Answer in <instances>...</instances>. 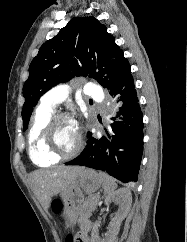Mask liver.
I'll return each mask as SVG.
<instances>
[{
    "label": "liver",
    "mask_w": 187,
    "mask_h": 242,
    "mask_svg": "<svg viewBox=\"0 0 187 242\" xmlns=\"http://www.w3.org/2000/svg\"><path fill=\"white\" fill-rule=\"evenodd\" d=\"M82 168L78 166H58L32 173L30 183L45 210L50 207L53 197L68 191Z\"/></svg>",
    "instance_id": "liver-1"
}]
</instances>
